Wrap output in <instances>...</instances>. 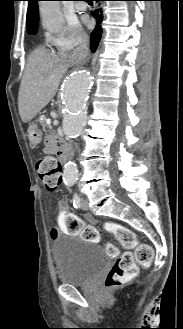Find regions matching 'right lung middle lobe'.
I'll list each match as a JSON object with an SVG mask.
<instances>
[{"instance_id":"right-lung-middle-lobe-1","label":"right lung middle lobe","mask_w":183,"mask_h":329,"mask_svg":"<svg viewBox=\"0 0 183 329\" xmlns=\"http://www.w3.org/2000/svg\"><path fill=\"white\" fill-rule=\"evenodd\" d=\"M38 28V27H37ZM37 28H35L33 31H31L29 34H35L37 32Z\"/></svg>"}]
</instances>
